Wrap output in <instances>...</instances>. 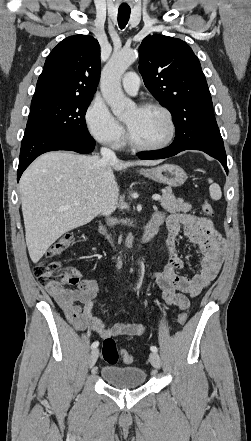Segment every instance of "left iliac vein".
Returning <instances> with one entry per match:
<instances>
[{"label":"left iliac vein","instance_id":"1","mask_svg":"<svg viewBox=\"0 0 251 441\" xmlns=\"http://www.w3.org/2000/svg\"><path fill=\"white\" fill-rule=\"evenodd\" d=\"M149 360L154 368L160 369L161 359H160V356L156 352L150 353Z\"/></svg>","mask_w":251,"mask_h":441}]
</instances>
